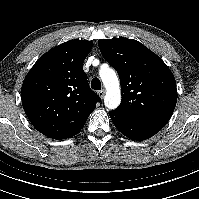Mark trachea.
I'll return each mask as SVG.
<instances>
[{
    "mask_svg": "<svg viewBox=\"0 0 199 199\" xmlns=\"http://www.w3.org/2000/svg\"><path fill=\"white\" fill-rule=\"evenodd\" d=\"M91 88L93 90H101V82H100L99 78L95 77L92 79Z\"/></svg>",
    "mask_w": 199,
    "mask_h": 199,
    "instance_id": "obj_1",
    "label": "trachea"
}]
</instances>
